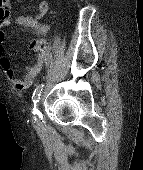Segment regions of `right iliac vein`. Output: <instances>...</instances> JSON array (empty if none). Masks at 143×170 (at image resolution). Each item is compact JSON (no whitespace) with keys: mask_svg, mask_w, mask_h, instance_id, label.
<instances>
[{"mask_svg":"<svg viewBox=\"0 0 143 170\" xmlns=\"http://www.w3.org/2000/svg\"><path fill=\"white\" fill-rule=\"evenodd\" d=\"M35 121L38 122V119L35 117Z\"/></svg>","mask_w":143,"mask_h":170,"instance_id":"1","label":"right iliac vein"}]
</instances>
